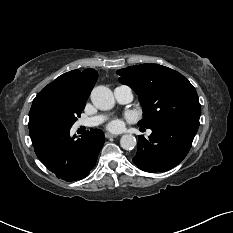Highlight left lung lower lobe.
I'll return each mask as SVG.
<instances>
[{
  "label": "left lung lower lobe",
  "instance_id": "1",
  "mask_svg": "<svg viewBox=\"0 0 233 233\" xmlns=\"http://www.w3.org/2000/svg\"><path fill=\"white\" fill-rule=\"evenodd\" d=\"M191 123L168 122L152 126L146 139L139 136L137 153L132 161L146 172H163L178 165L187 155L198 130Z\"/></svg>",
  "mask_w": 233,
  "mask_h": 233
}]
</instances>
